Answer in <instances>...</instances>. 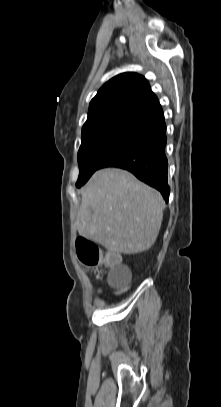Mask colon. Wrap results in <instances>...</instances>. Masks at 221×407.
I'll return each mask as SVG.
<instances>
[{"instance_id": "5ec220e1", "label": "colon", "mask_w": 221, "mask_h": 407, "mask_svg": "<svg viewBox=\"0 0 221 407\" xmlns=\"http://www.w3.org/2000/svg\"><path fill=\"white\" fill-rule=\"evenodd\" d=\"M76 249L80 261L89 267L99 264L110 267L114 266L115 261H122L120 252H105L103 259L97 245L84 238L77 240Z\"/></svg>"}]
</instances>
